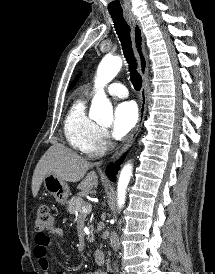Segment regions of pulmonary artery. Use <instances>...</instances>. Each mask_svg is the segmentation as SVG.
Returning <instances> with one entry per match:
<instances>
[{"label": "pulmonary artery", "instance_id": "pulmonary-artery-1", "mask_svg": "<svg viewBox=\"0 0 215 274\" xmlns=\"http://www.w3.org/2000/svg\"><path fill=\"white\" fill-rule=\"evenodd\" d=\"M107 92L115 97H119V98H125L128 95L127 89L126 87L119 83V82H114L111 83L108 87H107Z\"/></svg>", "mask_w": 215, "mask_h": 274}]
</instances>
